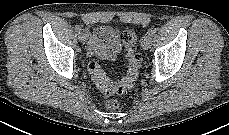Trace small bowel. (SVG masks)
<instances>
[{"instance_id":"obj_1","label":"small bowel","mask_w":229,"mask_h":135,"mask_svg":"<svg viewBox=\"0 0 229 135\" xmlns=\"http://www.w3.org/2000/svg\"><path fill=\"white\" fill-rule=\"evenodd\" d=\"M106 47L100 48L97 45L96 40L90 43L91 51L101 57H107L108 55H115L119 49V43L117 40V32L110 28H106L103 32Z\"/></svg>"}]
</instances>
